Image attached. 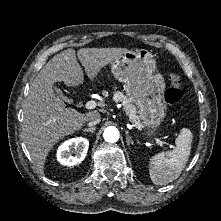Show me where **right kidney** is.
<instances>
[{
	"mask_svg": "<svg viewBox=\"0 0 221 221\" xmlns=\"http://www.w3.org/2000/svg\"><path fill=\"white\" fill-rule=\"evenodd\" d=\"M88 148L89 141L86 138L77 137L66 140L58 147L57 160L64 166L77 165L85 159Z\"/></svg>",
	"mask_w": 221,
	"mask_h": 221,
	"instance_id": "ca27d5eb",
	"label": "right kidney"
}]
</instances>
